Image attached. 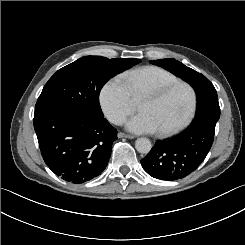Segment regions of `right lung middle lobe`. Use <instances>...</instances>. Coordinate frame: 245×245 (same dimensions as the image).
<instances>
[{"instance_id":"obj_1","label":"right lung middle lobe","mask_w":245,"mask_h":245,"mask_svg":"<svg viewBox=\"0 0 245 245\" xmlns=\"http://www.w3.org/2000/svg\"><path fill=\"white\" fill-rule=\"evenodd\" d=\"M140 61L134 58L82 57L54 73L37 100L35 112L68 108L103 118L99 104L101 88L110 77Z\"/></svg>"}]
</instances>
